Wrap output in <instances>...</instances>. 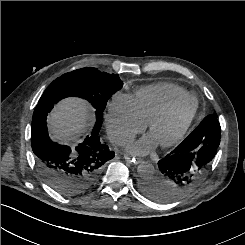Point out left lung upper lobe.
<instances>
[{"mask_svg":"<svg viewBox=\"0 0 245 245\" xmlns=\"http://www.w3.org/2000/svg\"><path fill=\"white\" fill-rule=\"evenodd\" d=\"M208 116H210V118H216L214 114H209Z\"/></svg>","mask_w":245,"mask_h":245,"instance_id":"1","label":"left lung upper lobe"}]
</instances>
